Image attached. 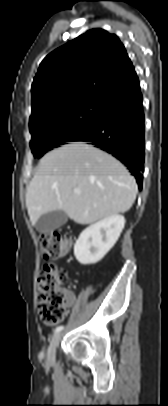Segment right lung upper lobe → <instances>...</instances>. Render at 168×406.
<instances>
[{
  "label": "right lung upper lobe",
  "mask_w": 168,
  "mask_h": 406,
  "mask_svg": "<svg viewBox=\"0 0 168 406\" xmlns=\"http://www.w3.org/2000/svg\"><path fill=\"white\" fill-rule=\"evenodd\" d=\"M138 80L115 34L92 29L41 62L32 84L30 123L90 99H103Z\"/></svg>",
  "instance_id": "1"
}]
</instances>
